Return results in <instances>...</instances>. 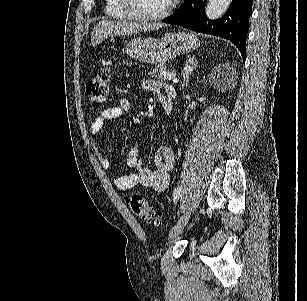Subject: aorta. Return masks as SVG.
Masks as SVG:
<instances>
[{
	"label": "aorta",
	"instance_id": "obj_1",
	"mask_svg": "<svg viewBox=\"0 0 307 301\" xmlns=\"http://www.w3.org/2000/svg\"><path fill=\"white\" fill-rule=\"evenodd\" d=\"M231 0H208L206 4V16L208 18H220L226 12Z\"/></svg>",
	"mask_w": 307,
	"mask_h": 301
}]
</instances>
